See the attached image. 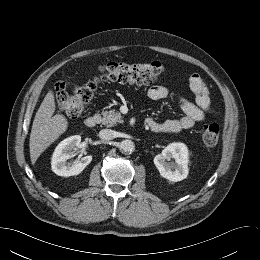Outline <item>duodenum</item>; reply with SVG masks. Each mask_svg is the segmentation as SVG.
<instances>
[{"mask_svg":"<svg viewBox=\"0 0 260 260\" xmlns=\"http://www.w3.org/2000/svg\"><path fill=\"white\" fill-rule=\"evenodd\" d=\"M99 121V117L98 116H89L84 120V125L87 128H93ZM145 124L147 126H150L151 123L149 121V119L146 120Z\"/></svg>","mask_w":260,"mask_h":260,"instance_id":"410a0bca","label":"duodenum"}]
</instances>
